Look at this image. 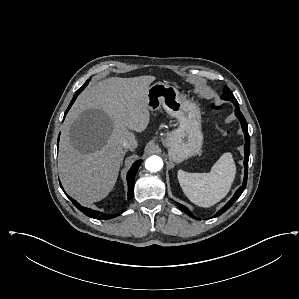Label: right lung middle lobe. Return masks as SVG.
<instances>
[{"label": "right lung middle lobe", "instance_id": "1", "mask_svg": "<svg viewBox=\"0 0 299 299\" xmlns=\"http://www.w3.org/2000/svg\"><path fill=\"white\" fill-rule=\"evenodd\" d=\"M88 82H89V80H87V82L80 89L83 90L87 86Z\"/></svg>", "mask_w": 299, "mask_h": 299}]
</instances>
